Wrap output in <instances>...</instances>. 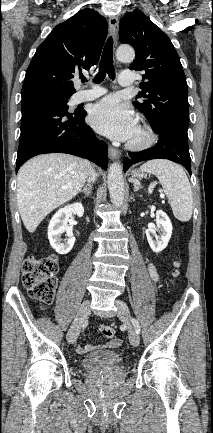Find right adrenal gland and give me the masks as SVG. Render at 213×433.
I'll list each match as a JSON object with an SVG mask.
<instances>
[{"instance_id": "2a0ac1e0", "label": "right adrenal gland", "mask_w": 213, "mask_h": 433, "mask_svg": "<svg viewBox=\"0 0 213 433\" xmlns=\"http://www.w3.org/2000/svg\"><path fill=\"white\" fill-rule=\"evenodd\" d=\"M92 186L90 183L86 184L85 187L80 191V193H84L85 196L89 197L91 195Z\"/></svg>"}]
</instances>
